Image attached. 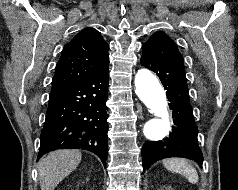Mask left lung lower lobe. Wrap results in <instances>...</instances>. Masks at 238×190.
<instances>
[{"instance_id":"1","label":"left lung lower lobe","mask_w":238,"mask_h":190,"mask_svg":"<svg viewBox=\"0 0 238 190\" xmlns=\"http://www.w3.org/2000/svg\"><path fill=\"white\" fill-rule=\"evenodd\" d=\"M140 63L160 78L167 90L169 107L174 119V126L168 137L144 143L142 148L144 171L157 160L169 157L188 158L202 164L203 155L198 146V129L190 104L184 65L157 59L144 53Z\"/></svg>"}]
</instances>
